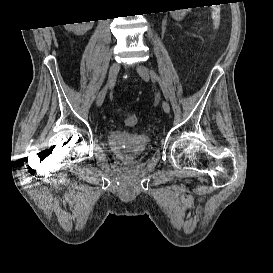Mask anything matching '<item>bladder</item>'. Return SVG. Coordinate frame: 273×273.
<instances>
[{
	"label": "bladder",
	"mask_w": 273,
	"mask_h": 273,
	"mask_svg": "<svg viewBox=\"0 0 273 273\" xmlns=\"http://www.w3.org/2000/svg\"><path fill=\"white\" fill-rule=\"evenodd\" d=\"M150 139L147 135L111 129L107 132L109 151L126 161L138 159L148 149Z\"/></svg>",
	"instance_id": "31cf9c89"
}]
</instances>
